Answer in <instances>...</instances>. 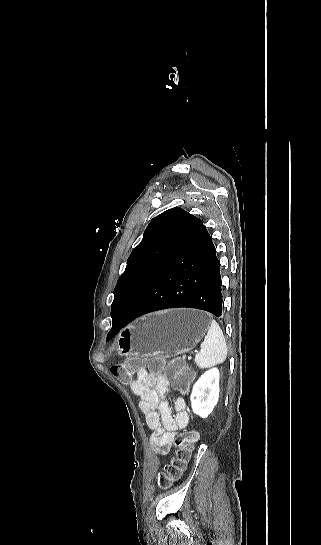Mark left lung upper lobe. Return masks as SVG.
Returning <instances> with one entry per match:
<instances>
[{"label":"left lung upper lobe","mask_w":321,"mask_h":545,"mask_svg":"<svg viewBox=\"0 0 321 545\" xmlns=\"http://www.w3.org/2000/svg\"><path fill=\"white\" fill-rule=\"evenodd\" d=\"M190 217L186 211L172 208L152 219L114 289L111 316L128 314L134 308L164 265Z\"/></svg>","instance_id":"1"}]
</instances>
